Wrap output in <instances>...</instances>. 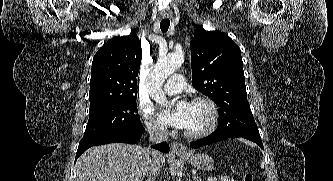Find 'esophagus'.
I'll return each instance as SVG.
<instances>
[{
    "label": "esophagus",
    "instance_id": "obj_1",
    "mask_svg": "<svg viewBox=\"0 0 333 181\" xmlns=\"http://www.w3.org/2000/svg\"><path fill=\"white\" fill-rule=\"evenodd\" d=\"M172 152L176 155H185L187 154L186 147L179 142H172L171 143Z\"/></svg>",
    "mask_w": 333,
    "mask_h": 181
}]
</instances>
